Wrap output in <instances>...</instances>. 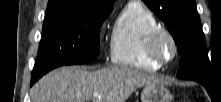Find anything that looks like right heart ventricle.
Masks as SVG:
<instances>
[{
	"mask_svg": "<svg viewBox=\"0 0 221 102\" xmlns=\"http://www.w3.org/2000/svg\"><path fill=\"white\" fill-rule=\"evenodd\" d=\"M161 27L153 12L139 1H130L120 12L110 42L112 63L123 67L156 71L159 65L146 54L148 34Z\"/></svg>",
	"mask_w": 221,
	"mask_h": 102,
	"instance_id": "e07e8e85",
	"label": "right heart ventricle"
}]
</instances>
